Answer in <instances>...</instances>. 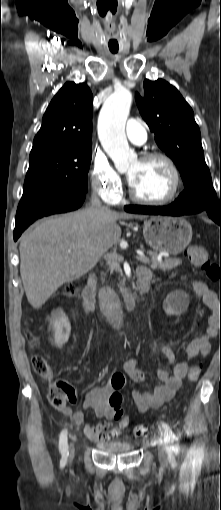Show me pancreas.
I'll use <instances>...</instances> for the list:
<instances>
[{"mask_svg": "<svg viewBox=\"0 0 221 510\" xmlns=\"http://www.w3.org/2000/svg\"><path fill=\"white\" fill-rule=\"evenodd\" d=\"M141 250H144L143 246H141ZM147 254L151 257V264H150V268L151 269H159V270H162V271H170L172 269H174L175 267L179 266L182 264V260L181 259H177V258H168V259H165L163 261H158L157 260V257H158V253L155 252V251H147ZM119 262L120 260H117V261H110L108 262V265H109V269L111 271L113 270H118L119 269Z\"/></svg>", "mask_w": 221, "mask_h": 510, "instance_id": "obj_1", "label": "pancreas"}]
</instances>
